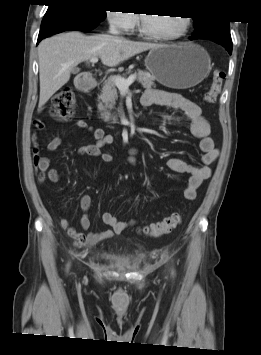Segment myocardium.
<instances>
[{"instance_id": "1", "label": "myocardium", "mask_w": 261, "mask_h": 355, "mask_svg": "<svg viewBox=\"0 0 261 355\" xmlns=\"http://www.w3.org/2000/svg\"><path fill=\"white\" fill-rule=\"evenodd\" d=\"M181 19H182V29L179 32L172 35H163V34L152 32L149 29H147L144 21V15H140L139 31L142 35L154 40H159V41L178 40L188 32L191 23V20L188 16H181Z\"/></svg>"}]
</instances>
